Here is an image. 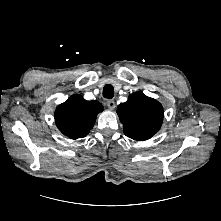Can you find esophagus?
Segmentation results:
<instances>
[{"label":"esophagus","instance_id":"obj_1","mask_svg":"<svg viewBox=\"0 0 221 221\" xmlns=\"http://www.w3.org/2000/svg\"><path fill=\"white\" fill-rule=\"evenodd\" d=\"M106 105L109 109L113 110L115 108V101L114 100H107Z\"/></svg>","mask_w":221,"mask_h":221}]
</instances>
